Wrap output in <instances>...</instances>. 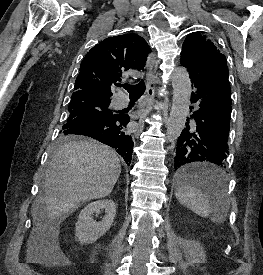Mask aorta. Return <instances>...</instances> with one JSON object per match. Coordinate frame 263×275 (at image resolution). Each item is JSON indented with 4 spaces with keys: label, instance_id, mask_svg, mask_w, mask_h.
Returning <instances> with one entry per match:
<instances>
[{
    "label": "aorta",
    "instance_id": "1",
    "mask_svg": "<svg viewBox=\"0 0 263 275\" xmlns=\"http://www.w3.org/2000/svg\"><path fill=\"white\" fill-rule=\"evenodd\" d=\"M173 102L167 123L166 138L175 141L185 127L189 113L191 81L185 68H176L171 75Z\"/></svg>",
    "mask_w": 263,
    "mask_h": 275
}]
</instances>
